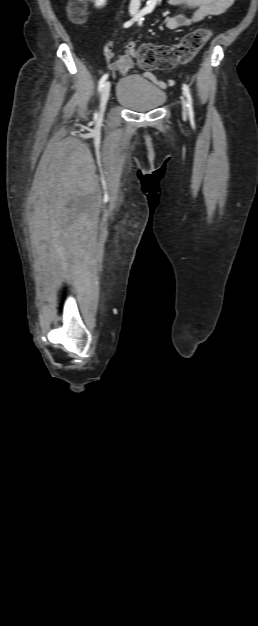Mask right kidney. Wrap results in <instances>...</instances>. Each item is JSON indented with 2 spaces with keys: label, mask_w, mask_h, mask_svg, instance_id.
I'll return each instance as SVG.
<instances>
[{
  "label": "right kidney",
  "mask_w": 258,
  "mask_h": 626,
  "mask_svg": "<svg viewBox=\"0 0 258 626\" xmlns=\"http://www.w3.org/2000/svg\"><path fill=\"white\" fill-rule=\"evenodd\" d=\"M96 7H102L105 5L106 0H94Z\"/></svg>",
  "instance_id": "obj_1"
}]
</instances>
